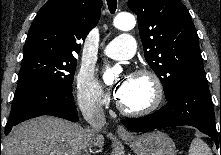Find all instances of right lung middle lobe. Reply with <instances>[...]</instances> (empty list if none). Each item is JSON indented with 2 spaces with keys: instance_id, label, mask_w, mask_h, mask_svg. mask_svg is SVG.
Returning a JSON list of instances; mask_svg holds the SVG:
<instances>
[{
  "instance_id": "right-lung-middle-lobe-1",
  "label": "right lung middle lobe",
  "mask_w": 221,
  "mask_h": 155,
  "mask_svg": "<svg viewBox=\"0 0 221 155\" xmlns=\"http://www.w3.org/2000/svg\"><path fill=\"white\" fill-rule=\"evenodd\" d=\"M75 69V58H62L46 53L24 56L15 95L32 82L45 83L64 92L72 93L71 85Z\"/></svg>"
}]
</instances>
